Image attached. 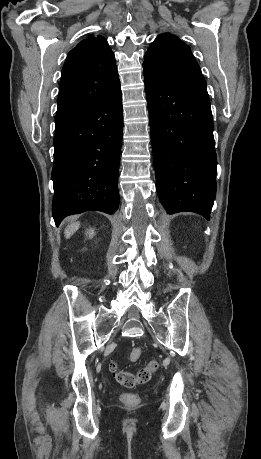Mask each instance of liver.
<instances>
[{"label": "liver", "instance_id": "1", "mask_svg": "<svg viewBox=\"0 0 261 459\" xmlns=\"http://www.w3.org/2000/svg\"><path fill=\"white\" fill-rule=\"evenodd\" d=\"M80 227L79 222H75L65 229V237L70 238Z\"/></svg>", "mask_w": 261, "mask_h": 459}]
</instances>
